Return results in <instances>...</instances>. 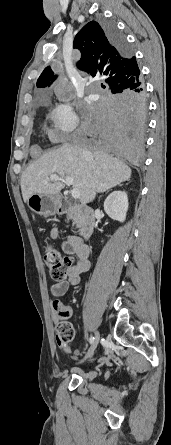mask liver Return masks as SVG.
Listing matches in <instances>:
<instances>
[{
  "label": "liver",
  "instance_id": "1",
  "mask_svg": "<svg viewBox=\"0 0 171 445\" xmlns=\"http://www.w3.org/2000/svg\"><path fill=\"white\" fill-rule=\"evenodd\" d=\"M54 174L71 177L74 188L80 191L81 203L87 204L97 193L128 181L131 169L122 160L105 157L99 149L65 145L44 154L24 171L20 182L24 202L32 194L58 195L65 186L60 179L44 182Z\"/></svg>",
  "mask_w": 171,
  "mask_h": 445
}]
</instances>
